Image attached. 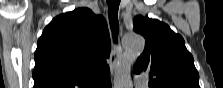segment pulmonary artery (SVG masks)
<instances>
[{"label": "pulmonary artery", "mask_w": 223, "mask_h": 88, "mask_svg": "<svg viewBox=\"0 0 223 88\" xmlns=\"http://www.w3.org/2000/svg\"><path fill=\"white\" fill-rule=\"evenodd\" d=\"M134 84L136 85V87L145 88L146 87L145 78L141 75H137L134 79Z\"/></svg>", "instance_id": "obj_1"}]
</instances>
